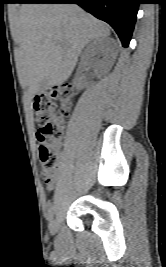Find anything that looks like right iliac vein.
Segmentation results:
<instances>
[{"label":"right iliac vein","mask_w":166,"mask_h":267,"mask_svg":"<svg viewBox=\"0 0 166 267\" xmlns=\"http://www.w3.org/2000/svg\"><path fill=\"white\" fill-rule=\"evenodd\" d=\"M49 230L52 235H55L58 230V221L53 219L49 224Z\"/></svg>","instance_id":"obj_1"}]
</instances>
